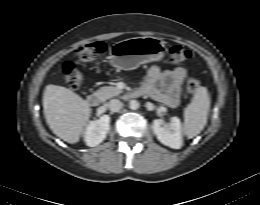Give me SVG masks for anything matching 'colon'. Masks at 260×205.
I'll list each match as a JSON object with an SVG mask.
<instances>
[{"mask_svg":"<svg viewBox=\"0 0 260 205\" xmlns=\"http://www.w3.org/2000/svg\"><path fill=\"white\" fill-rule=\"evenodd\" d=\"M105 52L103 42H93L81 45L74 50L75 60L68 59L62 64V73L67 85L72 89L79 88L84 81V74L79 69L78 63L90 64L99 59ZM190 52L182 45L174 44L169 47V58L172 63H182L190 58ZM200 83L196 78L187 81V91L194 94L199 89Z\"/></svg>","mask_w":260,"mask_h":205,"instance_id":"obj_1","label":"colon"}]
</instances>
